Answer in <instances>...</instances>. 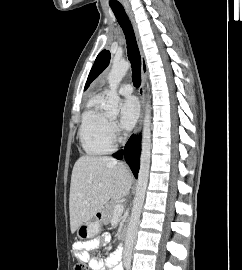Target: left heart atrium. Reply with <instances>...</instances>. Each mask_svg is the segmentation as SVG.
<instances>
[{
	"instance_id": "obj_1",
	"label": "left heart atrium",
	"mask_w": 242,
	"mask_h": 270,
	"mask_svg": "<svg viewBox=\"0 0 242 270\" xmlns=\"http://www.w3.org/2000/svg\"><path fill=\"white\" fill-rule=\"evenodd\" d=\"M139 114L140 106L138 100L135 97H127L121 105V125L126 129H131L137 122Z\"/></svg>"
}]
</instances>
